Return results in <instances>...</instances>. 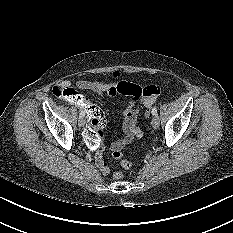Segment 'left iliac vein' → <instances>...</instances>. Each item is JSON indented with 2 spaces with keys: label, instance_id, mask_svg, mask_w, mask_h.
<instances>
[{
  "label": "left iliac vein",
  "instance_id": "obj_1",
  "mask_svg": "<svg viewBox=\"0 0 233 233\" xmlns=\"http://www.w3.org/2000/svg\"><path fill=\"white\" fill-rule=\"evenodd\" d=\"M151 124H152V127L154 129H158L159 128V118L157 115H153V118L151 120Z\"/></svg>",
  "mask_w": 233,
  "mask_h": 233
}]
</instances>
